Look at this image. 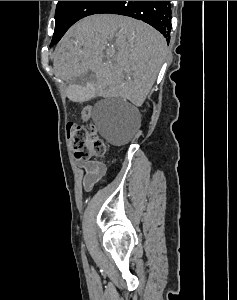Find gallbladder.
I'll return each mask as SVG.
<instances>
[{"label": "gallbladder", "mask_w": 237, "mask_h": 300, "mask_svg": "<svg viewBox=\"0 0 237 300\" xmlns=\"http://www.w3.org/2000/svg\"><path fill=\"white\" fill-rule=\"evenodd\" d=\"M92 86V85H89ZM66 93L69 94V101H92L93 100V87H78L77 84H71L66 88Z\"/></svg>", "instance_id": "gallbladder-1"}]
</instances>
